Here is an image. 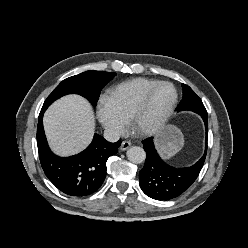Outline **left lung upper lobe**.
Segmentation results:
<instances>
[{
    "label": "left lung upper lobe",
    "mask_w": 248,
    "mask_h": 248,
    "mask_svg": "<svg viewBox=\"0 0 248 248\" xmlns=\"http://www.w3.org/2000/svg\"><path fill=\"white\" fill-rule=\"evenodd\" d=\"M183 98L179 106L178 111L189 110L196 113L207 112L201 99L194 93V91L187 85L182 84Z\"/></svg>",
    "instance_id": "1"
}]
</instances>
